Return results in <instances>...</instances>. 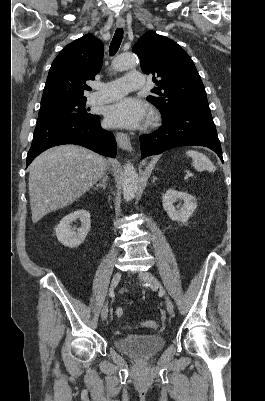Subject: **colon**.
I'll list each match as a JSON object with an SVG mask.
<instances>
[{"label": "colon", "instance_id": "1", "mask_svg": "<svg viewBox=\"0 0 265 401\" xmlns=\"http://www.w3.org/2000/svg\"><path fill=\"white\" fill-rule=\"evenodd\" d=\"M123 315H124V309L121 308V307H117V308L114 310V312H113V316H114V317H122ZM143 325H144L145 327H148V328H153V329H157V328H158L157 323L154 322V321H152V320H147V321H145V322L143 323Z\"/></svg>", "mask_w": 265, "mask_h": 401}]
</instances>
